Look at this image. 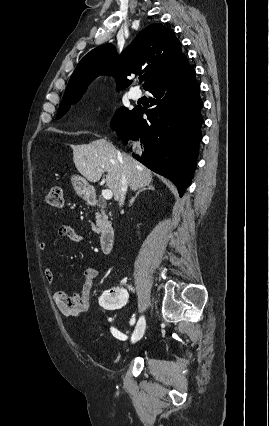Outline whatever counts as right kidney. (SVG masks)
Masks as SVG:
<instances>
[{"instance_id":"right-kidney-1","label":"right kidney","mask_w":269,"mask_h":426,"mask_svg":"<svg viewBox=\"0 0 269 426\" xmlns=\"http://www.w3.org/2000/svg\"><path fill=\"white\" fill-rule=\"evenodd\" d=\"M129 291L128 284L124 283L123 288L121 290L118 289V294L114 297L108 294L112 292V289L108 288V293H104L99 298L101 311H123L129 301Z\"/></svg>"}]
</instances>
